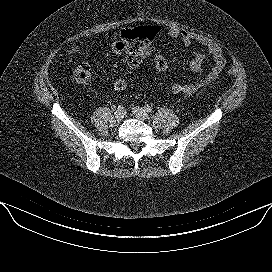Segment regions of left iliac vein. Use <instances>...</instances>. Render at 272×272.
Instances as JSON below:
<instances>
[{
  "label": "left iliac vein",
  "mask_w": 272,
  "mask_h": 272,
  "mask_svg": "<svg viewBox=\"0 0 272 272\" xmlns=\"http://www.w3.org/2000/svg\"><path fill=\"white\" fill-rule=\"evenodd\" d=\"M132 112L135 115V117L139 120L145 121L149 118L147 111L142 107L135 106L133 107Z\"/></svg>",
  "instance_id": "4c4485c4"
}]
</instances>
